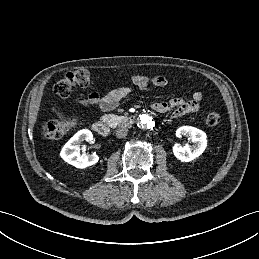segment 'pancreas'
I'll list each match as a JSON object with an SVG mask.
<instances>
[{"label": "pancreas", "instance_id": "pancreas-1", "mask_svg": "<svg viewBox=\"0 0 259 259\" xmlns=\"http://www.w3.org/2000/svg\"><path fill=\"white\" fill-rule=\"evenodd\" d=\"M102 119L112 128L118 124H129L131 122V119L127 116H117L113 114L105 115Z\"/></svg>", "mask_w": 259, "mask_h": 259}]
</instances>
